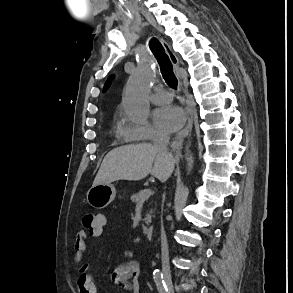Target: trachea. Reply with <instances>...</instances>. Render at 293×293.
<instances>
[{"label":"trachea","instance_id":"obj_1","mask_svg":"<svg viewBox=\"0 0 293 293\" xmlns=\"http://www.w3.org/2000/svg\"><path fill=\"white\" fill-rule=\"evenodd\" d=\"M149 46L154 56L156 57L160 66L161 74L165 82L173 89L177 88V78L173 72V65L165 53V49L162 44L156 38H152L149 42Z\"/></svg>","mask_w":293,"mask_h":293}]
</instances>
